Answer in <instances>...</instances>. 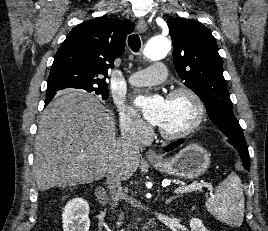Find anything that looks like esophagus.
Segmentation results:
<instances>
[{"label":"esophagus","mask_w":268,"mask_h":231,"mask_svg":"<svg viewBox=\"0 0 268 231\" xmlns=\"http://www.w3.org/2000/svg\"><path fill=\"white\" fill-rule=\"evenodd\" d=\"M137 27L140 32H145L147 30L148 26L144 18H139ZM146 158L151 161L161 160V157L152 149L146 151Z\"/></svg>","instance_id":"obj_1"}]
</instances>
